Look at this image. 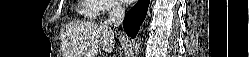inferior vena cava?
Masks as SVG:
<instances>
[{"instance_id":"602c4592","label":"inferior vena cava","mask_w":249,"mask_h":57,"mask_svg":"<svg viewBox=\"0 0 249 57\" xmlns=\"http://www.w3.org/2000/svg\"><path fill=\"white\" fill-rule=\"evenodd\" d=\"M125 16V7L122 3H118L109 13L108 19L104 21L105 26L119 27Z\"/></svg>"}]
</instances>
